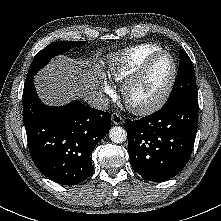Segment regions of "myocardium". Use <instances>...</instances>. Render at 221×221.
<instances>
[{"mask_svg": "<svg viewBox=\"0 0 221 221\" xmlns=\"http://www.w3.org/2000/svg\"><path fill=\"white\" fill-rule=\"evenodd\" d=\"M162 56L170 57L172 64H173L172 73H171L168 83L166 84L162 92L159 94V96L155 98L154 100H152L151 102L143 104V105H132L128 99V95H129L131 88L147 72L150 66L158 58ZM177 77H178V64L174 56L171 53L164 51V50L155 52L152 55H150L148 58H146L145 61L139 66V68L122 83V86H121L122 100L127 105V107L136 114H139V115L151 114L157 111L158 109H160L166 103V101L170 97V94L172 93V90L175 86Z\"/></svg>", "mask_w": 221, "mask_h": 221, "instance_id": "1", "label": "myocardium"}]
</instances>
